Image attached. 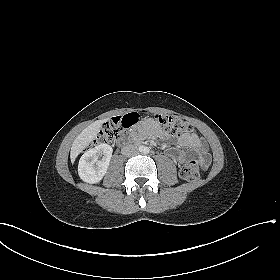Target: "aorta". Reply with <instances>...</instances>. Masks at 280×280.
I'll use <instances>...</instances> for the list:
<instances>
[{
	"label": "aorta",
	"mask_w": 280,
	"mask_h": 280,
	"mask_svg": "<svg viewBox=\"0 0 280 280\" xmlns=\"http://www.w3.org/2000/svg\"><path fill=\"white\" fill-rule=\"evenodd\" d=\"M140 151L142 153H148V148L147 147H141Z\"/></svg>",
	"instance_id": "762f6f07"
}]
</instances>
